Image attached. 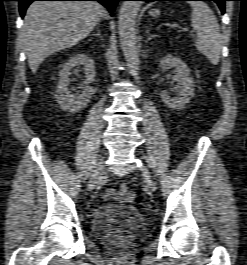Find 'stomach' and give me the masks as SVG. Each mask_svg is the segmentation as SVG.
Segmentation results:
<instances>
[{"label":"stomach","instance_id":"1","mask_svg":"<svg viewBox=\"0 0 247 265\" xmlns=\"http://www.w3.org/2000/svg\"><path fill=\"white\" fill-rule=\"evenodd\" d=\"M149 14L153 17H158L160 15V11L158 9H152Z\"/></svg>","mask_w":247,"mask_h":265}]
</instances>
